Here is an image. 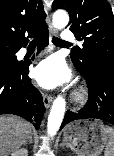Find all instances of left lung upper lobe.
Instances as JSON below:
<instances>
[{"label":"left lung upper lobe","mask_w":114,"mask_h":156,"mask_svg":"<svg viewBox=\"0 0 114 156\" xmlns=\"http://www.w3.org/2000/svg\"><path fill=\"white\" fill-rule=\"evenodd\" d=\"M52 9H66L70 30L84 41L71 53L75 67L114 69V17L107 0H54Z\"/></svg>","instance_id":"obj_1"}]
</instances>
